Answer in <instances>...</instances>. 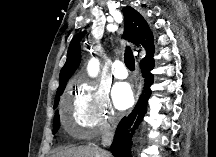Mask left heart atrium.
I'll return each instance as SVG.
<instances>
[{"mask_svg":"<svg viewBox=\"0 0 216 157\" xmlns=\"http://www.w3.org/2000/svg\"><path fill=\"white\" fill-rule=\"evenodd\" d=\"M112 98L115 106L120 110H125L133 102V93L131 87L127 83H118L112 91Z\"/></svg>","mask_w":216,"mask_h":157,"instance_id":"1","label":"left heart atrium"}]
</instances>
